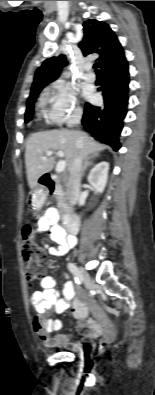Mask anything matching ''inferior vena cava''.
Wrapping results in <instances>:
<instances>
[{"label":"inferior vena cava","instance_id":"602c4592","mask_svg":"<svg viewBox=\"0 0 155 395\" xmlns=\"http://www.w3.org/2000/svg\"><path fill=\"white\" fill-rule=\"evenodd\" d=\"M83 157L81 155L77 156L70 168H69V180H68V200L70 205H75L79 198L80 193V182L81 173L83 169Z\"/></svg>","mask_w":155,"mask_h":395}]
</instances>
